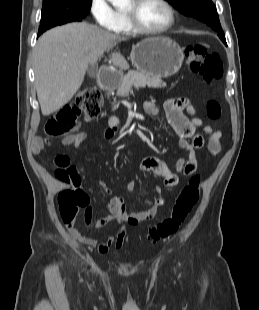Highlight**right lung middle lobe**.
Returning a JSON list of instances; mask_svg holds the SVG:
<instances>
[{
  "mask_svg": "<svg viewBox=\"0 0 259 310\" xmlns=\"http://www.w3.org/2000/svg\"><path fill=\"white\" fill-rule=\"evenodd\" d=\"M91 3L92 0H54L43 2L38 35L58 25L81 21L89 13Z\"/></svg>",
  "mask_w": 259,
  "mask_h": 310,
  "instance_id": "1",
  "label": "right lung middle lobe"
}]
</instances>
